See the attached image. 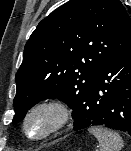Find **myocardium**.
<instances>
[{
	"label": "myocardium",
	"mask_w": 131,
	"mask_h": 151,
	"mask_svg": "<svg viewBox=\"0 0 131 151\" xmlns=\"http://www.w3.org/2000/svg\"><path fill=\"white\" fill-rule=\"evenodd\" d=\"M40 112H48L53 121L48 129L40 135H31L28 132L29 120ZM71 111L68 104L59 98H46L34 103L25 113L22 121V131L32 141H43L60 132L69 122Z\"/></svg>",
	"instance_id": "1"
}]
</instances>
